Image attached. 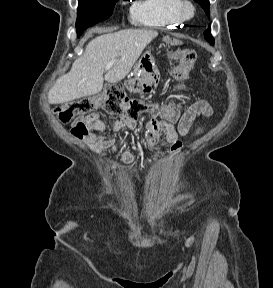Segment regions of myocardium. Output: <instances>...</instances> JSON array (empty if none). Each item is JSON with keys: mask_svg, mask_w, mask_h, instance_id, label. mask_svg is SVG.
Here are the masks:
<instances>
[{"mask_svg": "<svg viewBox=\"0 0 273 288\" xmlns=\"http://www.w3.org/2000/svg\"><path fill=\"white\" fill-rule=\"evenodd\" d=\"M180 14L183 19H191L195 15L194 5L188 0H182Z\"/></svg>", "mask_w": 273, "mask_h": 288, "instance_id": "1", "label": "myocardium"}]
</instances>
